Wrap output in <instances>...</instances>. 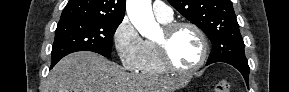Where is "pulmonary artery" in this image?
Listing matches in <instances>:
<instances>
[{
    "label": "pulmonary artery",
    "mask_w": 289,
    "mask_h": 92,
    "mask_svg": "<svg viewBox=\"0 0 289 92\" xmlns=\"http://www.w3.org/2000/svg\"><path fill=\"white\" fill-rule=\"evenodd\" d=\"M153 13L159 20H171L173 17L172 9L162 1H155L153 3Z\"/></svg>",
    "instance_id": "pulmonary-artery-1"
}]
</instances>
